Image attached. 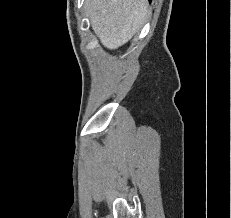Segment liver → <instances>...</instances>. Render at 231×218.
<instances>
[{
  "instance_id": "liver-1",
  "label": "liver",
  "mask_w": 231,
  "mask_h": 218,
  "mask_svg": "<svg viewBox=\"0 0 231 218\" xmlns=\"http://www.w3.org/2000/svg\"><path fill=\"white\" fill-rule=\"evenodd\" d=\"M91 26L100 42L113 50L127 43L141 28L147 0H85Z\"/></svg>"
}]
</instances>
